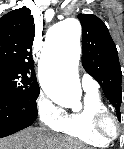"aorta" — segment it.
Instances as JSON below:
<instances>
[{"label": "aorta", "mask_w": 124, "mask_h": 149, "mask_svg": "<svg viewBox=\"0 0 124 149\" xmlns=\"http://www.w3.org/2000/svg\"><path fill=\"white\" fill-rule=\"evenodd\" d=\"M80 36L81 25L76 18L56 23L40 59L38 75L44 93L66 106L80 105Z\"/></svg>", "instance_id": "aorta-1"}]
</instances>
